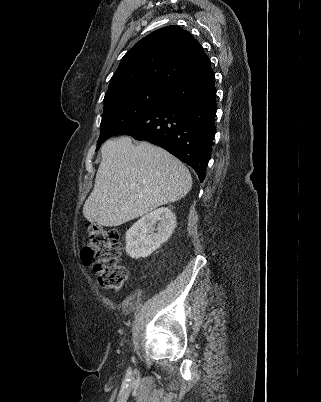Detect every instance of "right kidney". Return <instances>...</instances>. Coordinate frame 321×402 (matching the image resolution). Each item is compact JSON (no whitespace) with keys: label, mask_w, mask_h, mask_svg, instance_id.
Wrapping results in <instances>:
<instances>
[{"label":"right kidney","mask_w":321,"mask_h":402,"mask_svg":"<svg viewBox=\"0 0 321 402\" xmlns=\"http://www.w3.org/2000/svg\"><path fill=\"white\" fill-rule=\"evenodd\" d=\"M157 223V233L155 224ZM176 226V217L168 207L158 208L140 218L126 232V252L134 259L150 256L165 243Z\"/></svg>","instance_id":"ca27d5eb"}]
</instances>
